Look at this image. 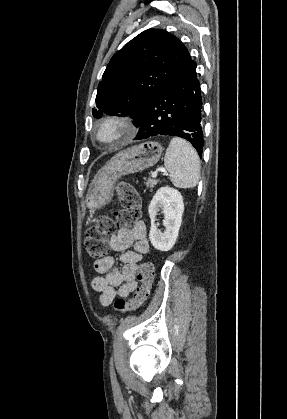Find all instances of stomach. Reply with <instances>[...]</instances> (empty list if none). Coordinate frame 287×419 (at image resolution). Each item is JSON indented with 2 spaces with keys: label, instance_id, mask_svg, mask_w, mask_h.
<instances>
[{
  "label": "stomach",
  "instance_id": "stomach-1",
  "mask_svg": "<svg viewBox=\"0 0 287 419\" xmlns=\"http://www.w3.org/2000/svg\"><path fill=\"white\" fill-rule=\"evenodd\" d=\"M162 152L161 144L148 141L116 154L94 176L86 195L87 205L98 208L109 203L113 197L115 184L122 176L154 166Z\"/></svg>",
  "mask_w": 287,
  "mask_h": 419
}]
</instances>
